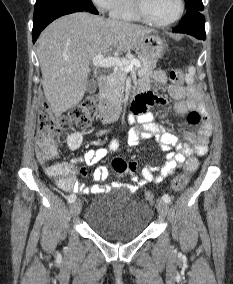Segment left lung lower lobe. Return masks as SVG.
<instances>
[{"instance_id":"0a47b994","label":"left lung lower lobe","mask_w":233,"mask_h":284,"mask_svg":"<svg viewBox=\"0 0 233 284\" xmlns=\"http://www.w3.org/2000/svg\"><path fill=\"white\" fill-rule=\"evenodd\" d=\"M173 32L186 33L197 39L205 40V19L203 14L187 22L180 23L173 29Z\"/></svg>"}]
</instances>
